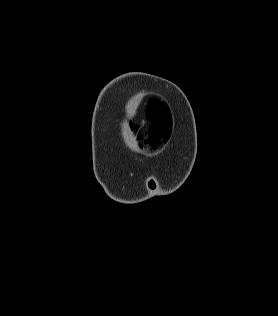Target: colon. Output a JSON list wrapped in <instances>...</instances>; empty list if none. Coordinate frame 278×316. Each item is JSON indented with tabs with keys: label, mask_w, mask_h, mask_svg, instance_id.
I'll use <instances>...</instances> for the list:
<instances>
[{
	"label": "colon",
	"mask_w": 278,
	"mask_h": 316,
	"mask_svg": "<svg viewBox=\"0 0 278 316\" xmlns=\"http://www.w3.org/2000/svg\"><path fill=\"white\" fill-rule=\"evenodd\" d=\"M165 136V131L160 125L154 124L148 131V141L151 145L158 144Z\"/></svg>",
	"instance_id": "colon-1"
}]
</instances>
